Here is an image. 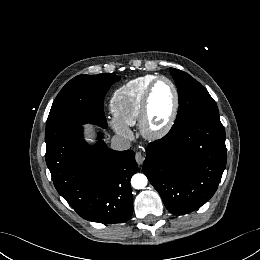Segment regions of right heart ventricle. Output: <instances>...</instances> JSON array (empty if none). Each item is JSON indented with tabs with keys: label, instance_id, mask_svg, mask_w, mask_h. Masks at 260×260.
Masks as SVG:
<instances>
[{
	"label": "right heart ventricle",
	"instance_id": "e07e8e85",
	"mask_svg": "<svg viewBox=\"0 0 260 260\" xmlns=\"http://www.w3.org/2000/svg\"><path fill=\"white\" fill-rule=\"evenodd\" d=\"M156 77L158 76H141L114 91L110 100V108L118 121L126 126H133L139 121L144 94Z\"/></svg>",
	"mask_w": 260,
	"mask_h": 260
}]
</instances>
